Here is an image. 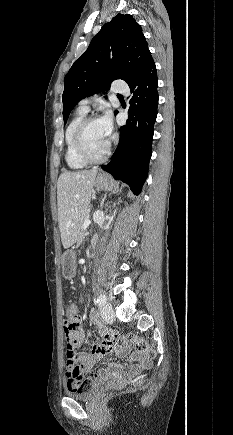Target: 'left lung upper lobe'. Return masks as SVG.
Returning <instances> with one entry per match:
<instances>
[{"mask_svg":"<svg viewBox=\"0 0 233 435\" xmlns=\"http://www.w3.org/2000/svg\"><path fill=\"white\" fill-rule=\"evenodd\" d=\"M153 63L141 26L130 14H117L103 25L65 76L64 124L81 99L108 89L116 79L131 86Z\"/></svg>","mask_w":233,"mask_h":435,"instance_id":"5c2ea615","label":"left lung upper lobe"}]
</instances>
